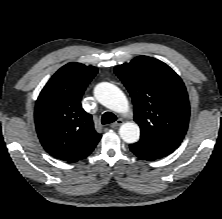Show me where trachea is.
<instances>
[{"label":"trachea","mask_w":222,"mask_h":219,"mask_svg":"<svg viewBox=\"0 0 222 219\" xmlns=\"http://www.w3.org/2000/svg\"><path fill=\"white\" fill-rule=\"evenodd\" d=\"M117 120V117L112 112H105L102 115L101 122L102 124H110Z\"/></svg>","instance_id":"obj_1"}]
</instances>
